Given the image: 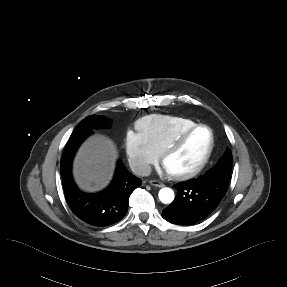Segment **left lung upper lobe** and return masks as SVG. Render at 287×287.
<instances>
[{
    "instance_id": "left-lung-upper-lobe-1",
    "label": "left lung upper lobe",
    "mask_w": 287,
    "mask_h": 287,
    "mask_svg": "<svg viewBox=\"0 0 287 287\" xmlns=\"http://www.w3.org/2000/svg\"><path fill=\"white\" fill-rule=\"evenodd\" d=\"M232 164H233V158L232 153L230 149H227L225 154L222 156V158L219 160L216 166H214L212 169L222 170L223 173L227 176L228 179H230L231 176V170H232ZM210 169L204 177H207L212 170Z\"/></svg>"
}]
</instances>
